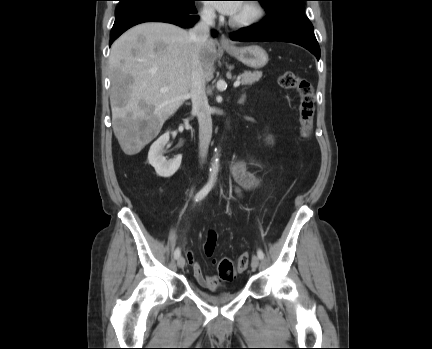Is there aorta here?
Returning a JSON list of instances; mask_svg holds the SVG:
<instances>
[{"mask_svg": "<svg viewBox=\"0 0 432 349\" xmlns=\"http://www.w3.org/2000/svg\"><path fill=\"white\" fill-rule=\"evenodd\" d=\"M218 170H219V158H218V153H217L214 157L212 164H211L210 175H209L210 181L216 180Z\"/></svg>", "mask_w": 432, "mask_h": 349, "instance_id": "1", "label": "aorta"}]
</instances>
